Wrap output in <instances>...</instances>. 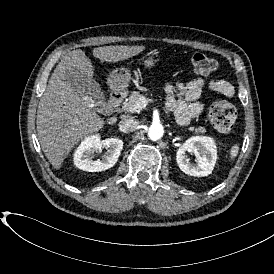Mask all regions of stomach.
<instances>
[{
  "instance_id": "0dacf381",
  "label": "stomach",
  "mask_w": 274,
  "mask_h": 274,
  "mask_svg": "<svg viewBox=\"0 0 274 274\" xmlns=\"http://www.w3.org/2000/svg\"><path fill=\"white\" fill-rule=\"evenodd\" d=\"M159 58L156 54H147L141 59L142 67L145 70H152L158 64ZM131 81L130 73L116 69L112 71L107 78V86L112 92L123 94L127 91Z\"/></svg>"
}]
</instances>
